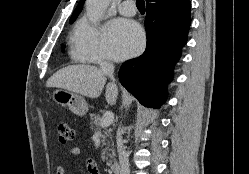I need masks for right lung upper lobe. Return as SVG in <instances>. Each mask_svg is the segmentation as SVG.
<instances>
[{"label": "right lung upper lobe", "mask_w": 249, "mask_h": 174, "mask_svg": "<svg viewBox=\"0 0 249 174\" xmlns=\"http://www.w3.org/2000/svg\"><path fill=\"white\" fill-rule=\"evenodd\" d=\"M84 1L85 0H80L77 8L74 10V12L70 18V22L75 21V19L77 18V16L79 15V13L81 12V10L83 8ZM169 1H172V0H146V6H157L160 4L167 3Z\"/></svg>", "instance_id": "obj_1"}]
</instances>
